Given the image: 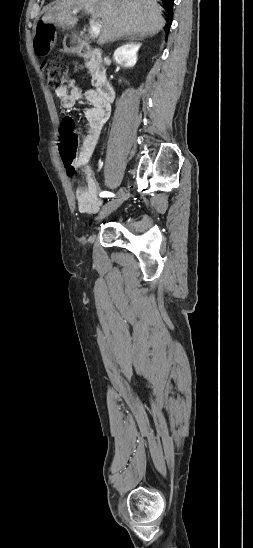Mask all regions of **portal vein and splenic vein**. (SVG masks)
<instances>
[{
  "label": "portal vein and splenic vein",
  "instance_id": "18ae733b",
  "mask_svg": "<svg viewBox=\"0 0 253 548\" xmlns=\"http://www.w3.org/2000/svg\"><path fill=\"white\" fill-rule=\"evenodd\" d=\"M79 12V10L77 9H74L72 10V14H77ZM90 28H91V37L92 38H96L98 37V35L100 34V30H101V24L98 22V21H95V17H93L92 19H90Z\"/></svg>",
  "mask_w": 253,
  "mask_h": 548
}]
</instances>
